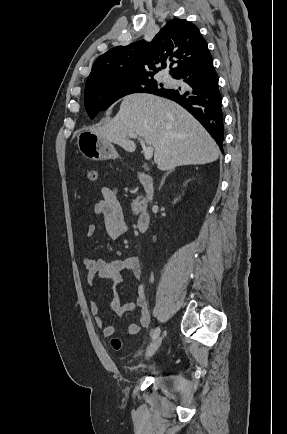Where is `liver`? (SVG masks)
Segmentation results:
<instances>
[{
    "mask_svg": "<svg viewBox=\"0 0 287 434\" xmlns=\"http://www.w3.org/2000/svg\"><path fill=\"white\" fill-rule=\"evenodd\" d=\"M91 131L128 152L135 151L136 145L127 133L144 138L154 147V162L162 171L211 163L220 154L216 142L190 113L171 100L151 94L125 97L117 115Z\"/></svg>",
    "mask_w": 287,
    "mask_h": 434,
    "instance_id": "6515ba94",
    "label": "liver"
}]
</instances>
